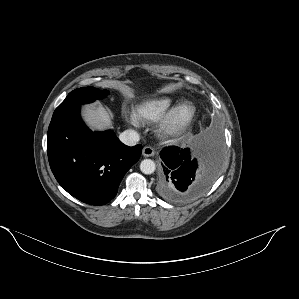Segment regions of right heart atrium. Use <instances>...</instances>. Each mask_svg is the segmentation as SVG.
Returning <instances> with one entry per match:
<instances>
[{"label":"right heart atrium","instance_id":"right-heart-atrium-1","mask_svg":"<svg viewBox=\"0 0 299 299\" xmlns=\"http://www.w3.org/2000/svg\"><path fill=\"white\" fill-rule=\"evenodd\" d=\"M128 121L131 122L132 124H136L137 123V120L134 116H129L128 117Z\"/></svg>","mask_w":299,"mask_h":299}]
</instances>
